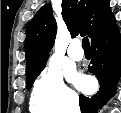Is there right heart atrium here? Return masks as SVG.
<instances>
[{"instance_id": "obj_1", "label": "right heart atrium", "mask_w": 121, "mask_h": 113, "mask_svg": "<svg viewBox=\"0 0 121 113\" xmlns=\"http://www.w3.org/2000/svg\"><path fill=\"white\" fill-rule=\"evenodd\" d=\"M33 100L46 113H65L76 109V94L65 84L62 73L54 67L45 68L34 84Z\"/></svg>"}]
</instances>
